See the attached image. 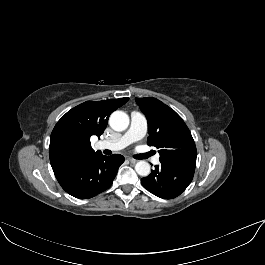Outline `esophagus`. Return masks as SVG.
Segmentation results:
<instances>
[{"instance_id":"esophagus-1","label":"esophagus","mask_w":265,"mask_h":265,"mask_svg":"<svg viewBox=\"0 0 265 265\" xmlns=\"http://www.w3.org/2000/svg\"><path fill=\"white\" fill-rule=\"evenodd\" d=\"M128 160L131 162V163H136L138 160L134 159V158H131L129 157Z\"/></svg>"}]
</instances>
